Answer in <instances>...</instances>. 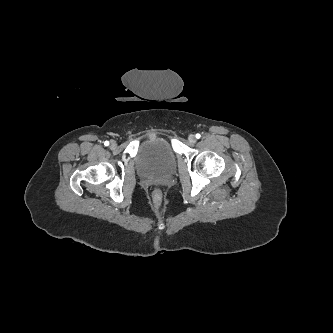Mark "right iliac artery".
Segmentation results:
<instances>
[{
	"label": "right iliac artery",
	"mask_w": 333,
	"mask_h": 333,
	"mask_svg": "<svg viewBox=\"0 0 333 333\" xmlns=\"http://www.w3.org/2000/svg\"><path fill=\"white\" fill-rule=\"evenodd\" d=\"M104 145H105V146H108V145H109V141H105V142H104Z\"/></svg>",
	"instance_id": "1"
}]
</instances>
